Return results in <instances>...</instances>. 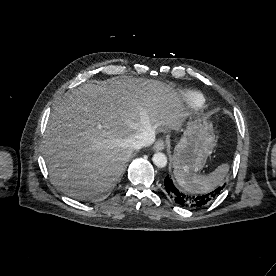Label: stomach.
I'll list each match as a JSON object with an SVG mask.
<instances>
[{"label": "stomach", "mask_w": 276, "mask_h": 276, "mask_svg": "<svg viewBox=\"0 0 276 276\" xmlns=\"http://www.w3.org/2000/svg\"><path fill=\"white\" fill-rule=\"evenodd\" d=\"M215 146L212 123L206 118L189 121L171 157L175 169L187 173L203 169Z\"/></svg>", "instance_id": "0dacf381"}]
</instances>
